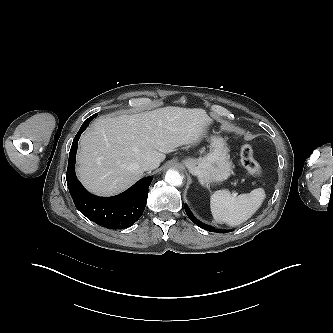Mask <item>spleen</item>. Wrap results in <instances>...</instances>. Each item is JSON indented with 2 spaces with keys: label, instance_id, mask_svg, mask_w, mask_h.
I'll return each mask as SVG.
<instances>
[{
  "label": "spleen",
  "instance_id": "3e777b00",
  "mask_svg": "<svg viewBox=\"0 0 333 333\" xmlns=\"http://www.w3.org/2000/svg\"><path fill=\"white\" fill-rule=\"evenodd\" d=\"M265 197L262 188L238 196H232L228 190H218L211 195V213L217 223L237 226L259 209Z\"/></svg>",
  "mask_w": 333,
  "mask_h": 333
}]
</instances>
